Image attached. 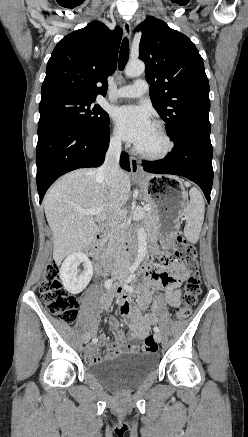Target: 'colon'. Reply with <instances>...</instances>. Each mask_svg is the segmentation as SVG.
I'll return each mask as SVG.
<instances>
[{"instance_id":"obj_1","label":"colon","mask_w":248,"mask_h":437,"mask_svg":"<svg viewBox=\"0 0 248 437\" xmlns=\"http://www.w3.org/2000/svg\"><path fill=\"white\" fill-rule=\"evenodd\" d=\"M177 258L190 271L187 279L182 305L176 310V317L186 319L196 305L201 293V277L196 250L181 235H175L171 240ZM39 292L43 303L50 313L58 316L62 321L70 324L77 317L78 300L63 287L60 278V268L56 262H51L46 269L39 285ZM158 343L154 336L148 335L143 344L144 352H156Z\"/></svg>"}]
</instances>
